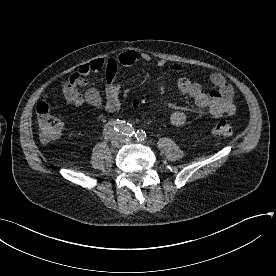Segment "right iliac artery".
Wrapping results in <instances>:
<instances>
[{
	"label": "right iliac artery",
	"mask_w": 276,
	"mask_h": 276,
	"mask_svg": "<svg viewBox=\"0 0 276 276\" xmlns=\"http://www.w3.org/2000/svg\"><path fill=\"white\" fill-rule=\"evenodd\" d=\"M115 132H120L125 136H133L135 131L130 123L122 120H114L105 125L103 135L105 140H109Z\"/></svg>",
	"instance_id": "82829eb1"
}]
</instances>
